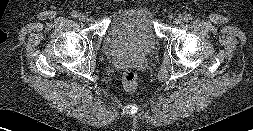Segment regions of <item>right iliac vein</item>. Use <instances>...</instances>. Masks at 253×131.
<instances>
[{"mask_svg": "<svg viewBox=\"0 0 253 131\" xmlns=\"http://www.w3.org/2000/svg\"><path fill=\"white\" fill-rule=\"evenodd\" d=\"M79 19L82 22H88L89 21V16L86 13H80L79 14Z\"/></svg>", "mask_w": 253, "mask_h": 131, "instance_id": "1", "label": "right iliac vein"}]
</instances>
